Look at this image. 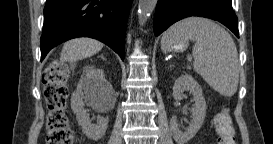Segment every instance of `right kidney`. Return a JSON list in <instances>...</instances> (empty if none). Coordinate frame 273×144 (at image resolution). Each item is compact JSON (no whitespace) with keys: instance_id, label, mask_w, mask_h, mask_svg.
Returning <instances> with one entry per match:
<instances>
[{"instance_id":"ca27d5eb","label":"right kidney","mask_w":273,"mask_h":144,"mask_svg":"<svg viewBox=\"0 0 273 144\" xmlns=\"http://www.w3.org/2000/svg\"><path fill=\"white\" fill-rule=\"evenodd\" d=\"M113 93V88L104 78V71L95 67L86 70V74L80 80L77 90L71 97V108L76 114L78 124L83 133L92 140L101 139L107 130L108 122L103 117L97 118V123H91L89 114L84 109L83 99L88 98L91 105H96L104 97Z\"/></svg>"}]
</instances>
